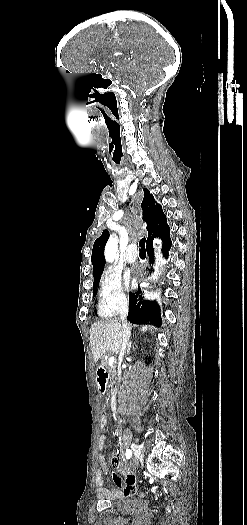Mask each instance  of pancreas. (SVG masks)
<instances>
[{"label":"pancreas","mask_w":247,"mask_h":525,"mask_svg":"<svg viewBox=\"0 0 247 525\" xmlns=\"http://www.w3.org/2000/svg\"><path fill=\"white\" fill-rule=\"evenodd\" d=\"M103 365H105V367H107V369H109V373H111L113 379H116V367H117V363H113V366L112 367H109L108 366V361L106 358H103Z\"/></svg>","instance_id":"1"}]
</instances>
